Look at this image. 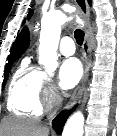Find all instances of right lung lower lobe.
<instances>
[{
    "label": "right lung lower lobe",
    "instance_id": "obj_1",
    "mask_svg": "<svg viewBox=\"0 0 117 136\" xmlns=\"http://www.w3.org/2000/svg\"><path fill=\"white\" fill-rule=\"evenodd\" d=\"M70 113L71 112L62 111L53 120L52 125L56 129L58 134H60L62 132L63 126H64L68 116L70 115Z\"/></svg>",
    "mask_w": 117,
    "mask_h": 136
}]
</instances>
